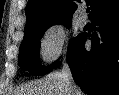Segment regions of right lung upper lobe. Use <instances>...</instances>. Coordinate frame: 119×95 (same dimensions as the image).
Here are the masks:
<instances>
[{
	"mask_svg": "<svg viewBox=\"0 0 119 95\" xmlns=\"http://www.w3.org/2000/svg\"><path fill=\"white\" fill-rule=\"evenodd\" d=\"M80 2V0H29L25 10L27 22L24 33L44 24L71 21L77 3ZM90 5L89 18L94 20L119 8V0H90Z\"/></svg>",
	"mask_w": 119,
	"mask_h": 95,
	"instance_id": "obj_1",
	"label": "right lung upper lobe"
}]
</instances>
